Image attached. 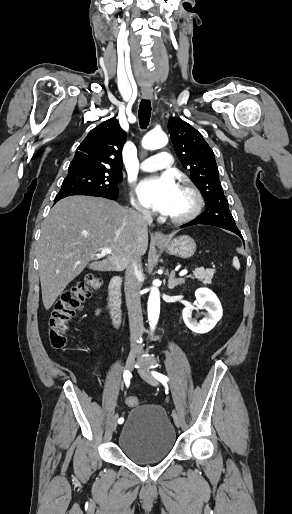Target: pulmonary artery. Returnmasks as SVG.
<instances>
[{
	"instance_id": "e3ab8cb5",
	"label": "pulmonary artery",
	"mask_w": 292,
	"mask_h": 514,
	"mask_svg": "<svg viewBox=\"0 0 292 514\" xmlns=\"http://www.w3.org/2000/svg\"><path fill=\"white\" fill-rule=\"evenodd\" d=\"M143 170L147 172L168 171L175 163L172 154L168 150H157L152 157L144 160Z\"/></svg>"
}]
</instances>
